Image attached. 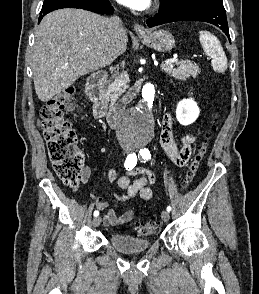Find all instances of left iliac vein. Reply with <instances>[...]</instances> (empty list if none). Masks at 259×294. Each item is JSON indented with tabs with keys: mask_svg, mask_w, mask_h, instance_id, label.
<instances>
[{
	"mask_svg": "<svg viewBox=\"0 0 259 294\" xmlns=\"http://www.w3.org/2000/svg\"><path fill=\"white\" fill-rule=\"evenodd\" d=\"M161 218H162V220H163L164 222H168L169 219H170V214H169V212L166 211V210L162 211V213H161Z\"/></svg>",
	"mask_w": 259,
	"mask_h": 294,
	"instance_id": "4c4485c4",
	"label": "left iliac vein"
}]
</instances>
